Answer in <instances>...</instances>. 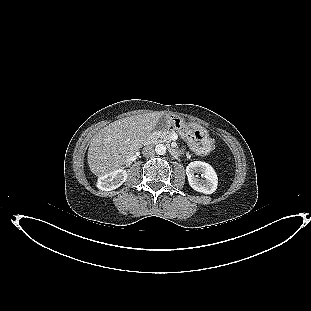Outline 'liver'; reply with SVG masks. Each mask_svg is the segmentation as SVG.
Segmentation results:
<instances>
[{
	"label": "liver",
	"mask_w": 311,
	"mask_h": 311,
	"mask_svg": "<svg viewBox=\"0 0 311 311\" xmlns=\"http://www.w3.org/2000/svg\"><path fill=\"white\" fill-rule=\"evenodd\" d=\"M162 113L153 112L123 118L107 125L96 133L88 149V165L91 172L101 177L127 163L142 147L155 129ZM190 126L202 129L200 125Z\"/></svg>",
	"instance_id": "1"
}]
</instances>
